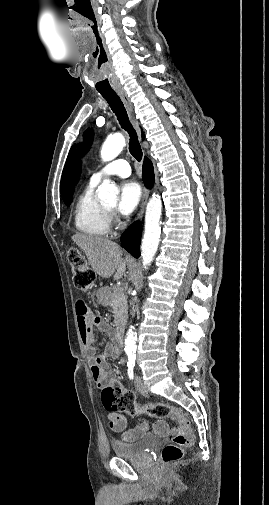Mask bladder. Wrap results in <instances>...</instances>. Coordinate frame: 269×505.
Segmentation results:
<instances>
[{"label": "bladder", "mask_w": 269, "mask_h": 505, "mask_svg": "<svg viewBox=\"0 0 269 505\" xmlns=\"http://www.w3.org/2000/svg\"><path fill=\"white\" fill-rule=\"evenodd\" d=\"M158 440L152 435H144L137 440L121 442L114 441L112 449L114 455L118 458H142L147 451L157 444Z\"/></svg>", "instance_id": "1"}]
</instances>
